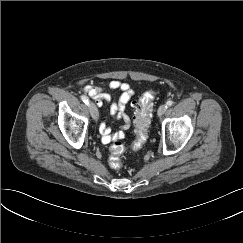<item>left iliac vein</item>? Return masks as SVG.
<instances>
[{
	"label": "left iliac vein",
	"mask_w": 243,
	"mask_h": 243,
	"mask_svg": "<svg viewBox=\"0 0 243 243\" xmlns=\"http://www.w3.org/2000/svg\"><path fill=\"white\" fill-rule=\"evenodd\" d=\"M166 109L167 107L165 104L161 105L157 112L158 116L161 117L166 112Z\"/></svg>",
	"instance_id": "1"
}]
</instances>
